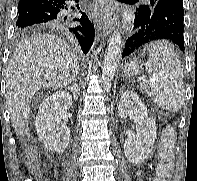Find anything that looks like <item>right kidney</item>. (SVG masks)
<instances>
[{
  "label": "right kidney",
  "mask_w": 197,
  "mask_h": 181,
  "mask_svg": "<svg viewBox=\"0 0 197 181\" xmlns=\"http://www.w3.org/2000/svg\"><path fill=\"white\" fill-rule=\"evenodd\" d=\"M72 105L67 92H56L48 96L39 106L35 128L44 147L53 153H62L68 146L70 130L61 114Z\"/></svg>",
  "instance_id": "1"
}]
</instances>
